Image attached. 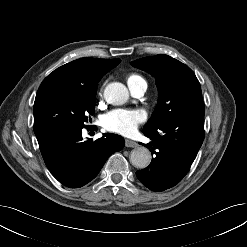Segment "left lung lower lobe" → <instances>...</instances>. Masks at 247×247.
<instances>
[{
	"label": "left lung lower lobe",
	"mask_w": 247,
	"mask_h": 247,
	"mask_svg": "<svg viewBox=\"0 0 247 247\" xmlns=\"http://www.w3.org/2000/svg\"><path fill=\"white\" fill-rule=\"evenodd\" d=\"M152 142L144 144L154 158L137 178L152 191L178 184L189 171L204 140V118H176L153 131H143Z\"/></svg>",
	"instance_id": "1"
}]
</instances>
